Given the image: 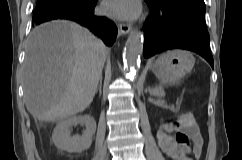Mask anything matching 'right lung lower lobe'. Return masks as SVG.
<instances>
[{
    "instance_id": "98d812e1",
    "label": "right lung lower lobe",
    "mask_w": 242,
    "mask_h": 160,
    "mask_svg": "<svg viewBox=\"0 0 242 160\" xmlns=\"http://www.w3.org/2000/svg\"><path fill=\"white\" fill-rule=\"evenodd\" d=\"M97 0H52L37 5L33 14V26L54 19L73 20L98 35L111 46L118 32L116 25L105 17L94 15Z\"/></svg>"
}]
</instances>
